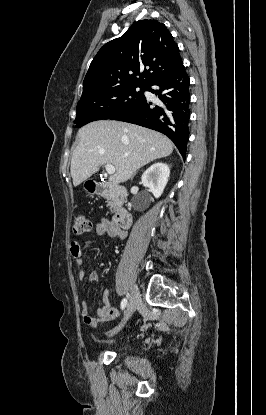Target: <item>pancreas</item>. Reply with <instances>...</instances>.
Segmentation results:
<instances>
[{
	"instance_id": "pancreas-1",
	"label": "pancreas",
	"mask_w": 266,
	"mask_h": 415,
	"mask_svg": "<svg viewBox=\"0 0 266 415\" xmlns=\"http://www.w3.org/2000/svg\"><path fill=\"white\" fill-rule=\"evenodd\" d=\"M105 198L107 199L110 211L114 212L116 210L115 196L111 192H107Z\"/></svg>"
}]
</instances>
